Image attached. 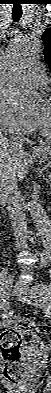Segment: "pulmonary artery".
Listing matches in <instances>:
<instances>
[{"label":"pulmonary artery","instance_id":"obj_1","mask_svg":"<svg viewBox=\"0 0 51 393\" xmlns=\"http://www.w3.org/2000/svg\"><path fill=\"white\" fill-rule=\"evenodd\" d=\"M29 79L34 86L39 88L44 87L48 81V78L40 67L34 68L29 76Z\"/></svg>","mask_w":51,"mask_h":393}]
</instances>
